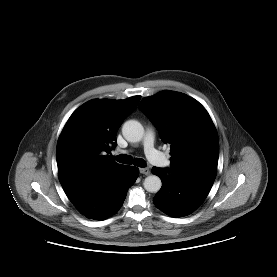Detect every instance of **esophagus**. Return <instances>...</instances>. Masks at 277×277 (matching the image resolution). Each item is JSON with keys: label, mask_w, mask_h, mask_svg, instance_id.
I'll return each instance as SVG.
<instances>
[{"label": "esophagus", "mask_w": 277, "mask_h": 277, "mask_svg": "<svg viewBox=\"0 0 277 277\" xmlns=\"http://www.w3.org/2000/svg\"><path fill=\"white\" fill-rule=\"evenodd\" d=\"M140 173L144 174V175H149L150 174V170L149 168L145 167V168H140Z\"/></svg>", "instance_id": "34e87169"}]
</instances>
